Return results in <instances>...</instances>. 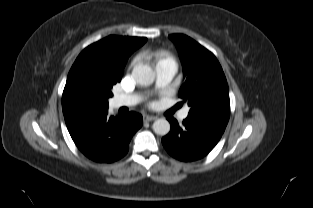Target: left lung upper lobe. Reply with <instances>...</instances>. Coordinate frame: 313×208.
Instances as JSON below:
<instances>
[{"instance_id": "1", "label": "left lung upper lobe", "mask_w": 313, "mask_h": 208, "mask_svg": "<svg viewBox=\"0 0 313 208\" xmlns=\"http://www.w3.org/2000/svg\"><path fill=\"white\" fill-rule=\"evenodd\" d=\"M183 65L184 84L179 97L191 107L188 116L228 123L230 100L227 80L218 60L209 50L183 34H172Z\"/></svg>"}]
</instances>
